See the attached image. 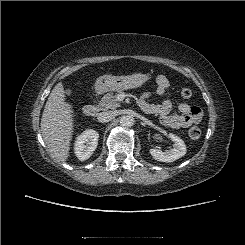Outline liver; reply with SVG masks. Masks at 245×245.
<instances>
[{
  "instance_id": "liver-1",
  "label": "liver",
  "mask_w": 245,
  "mask_h": 245,
  "mask_svg": "<svg viewBox=\"0 0 245 245\" xmlns=\"http://www.w3.org/2000/svg\"><path fill=\"white\" fill-rule=\"evenodd\" d=\"M73 117V107L65 102L64 87L60 82L48 97L40 124L43 139L57 162H65L69 157L74 132Z\"/></svg>"
}]
</instances>
